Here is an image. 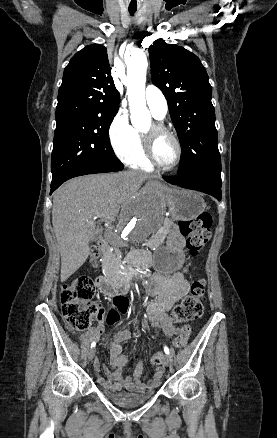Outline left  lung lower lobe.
Returning a JSON list of instances; mask_svg holds the SVG:
<instances>
[{"label":"left lung lower lobe","mask_w":277,"mask_h":438,"mask_svg":"<svg viewBox=\"0 0 277 438\" xmlns=\"http://www.w3.org/2000/svg\"><path fill=\"white\" fill-rule=\"evenodd\" d=\"M164 179L172 184L198 190L221 200V173L209 172L194 177L165 176Z\"/></svg>","instance_id":"0a47b994"}]
</instances>
